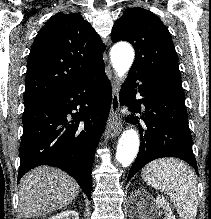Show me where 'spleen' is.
I'll use <instances>...</instances> for the list:
<instances>
[{"label":"spleen","mask_w":211,"mask_h":219,"mask_svg":"<svg viewBox=\"0 0 211 219\" xmlns=\"http://www.w3.org/2000/svg\"><path fill=\"white\" fill-rule=\"evenodd\" d=\"M141 176L152 188L170 197L181 219L196 218L197 180L188 165L174 158H163L149 163Z\"/></svg>","instance_id":"spleen-1"}]
</instances>
